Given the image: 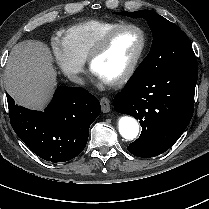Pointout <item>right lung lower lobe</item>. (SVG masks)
I'll use <instances>...</instances> for the list:
<instances>
[{
	"instance_id": "right-lung-lower-lobe-1",
	"label": "right lung lower lobe",
	"mask_w": 209,
	"mask_h": 209,
	"mask_svg": "<svg viewBox=\"0 0 209 209\" xmlns=\"http://www.w3.org/2000/svg\"><path fill=\"white\" fill-rule=\"evenodd\" d=\"M7 101L15 133L37 156L54 163L83 151L101 112L98 99L81 87H59L43 112L15 105L9 94Z\"/></svg>"
}]
</instances>
